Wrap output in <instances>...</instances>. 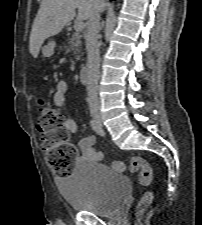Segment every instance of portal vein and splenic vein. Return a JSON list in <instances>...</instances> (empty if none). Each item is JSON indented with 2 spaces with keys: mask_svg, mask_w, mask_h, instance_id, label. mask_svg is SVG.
<instances>
[{
  "mask_svg": "<svg viewBox=\"0 0 202 225\" xmlns=\"http://www.w3.org/2000/svg\"><path fill=\"white\" fill-rule=\"evenodd\" d=\"M84 28H85V23L82 22V21H78V22H76L75 25H74V29H75V31H77V32L83 31Z\"/></svg>",
  "mask_w": 202,
  "mask_h": 225,
  "instance_id": "18ae733b",
  "label": "portal vein and splenic vein"
}]
</instances>
